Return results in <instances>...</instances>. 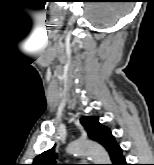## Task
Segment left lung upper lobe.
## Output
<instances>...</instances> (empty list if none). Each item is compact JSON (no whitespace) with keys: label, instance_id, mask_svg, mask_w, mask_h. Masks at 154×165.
<instances>
[{"label":"left lung upper lobe","instance_id":"5c2ea615","mask_svg":"<svg viewBox=\"0 0 154 165\" xmlns=\"http://www.w3.org/2000/svg\"><path fill=\"white\" fill-rule=\"evenodd\" d=\"M80 122L87 131L88 137L103 145L112 159L120 147L117 145L110 129L101 125L98 122V117H82ZM56 158L53 147L39 154L32 165H60L56 164Z\"/></svg>","mask_w":154,"mask_h":165}]
</instances>
